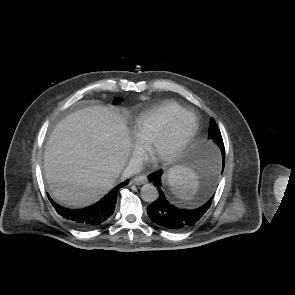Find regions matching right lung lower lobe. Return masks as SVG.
Instances as JSON below:
<instances>
[{
	"label": "right lung lower lobe",
	"mask_w": 295,
	"mask_h": 295,
	"mask_svg": "<svg viewBox=\"0 0 295 295\" xmlns=\"http://www.w3.org/2000/svg\"><path fill=\"white\" fill-rule=\"evenodd\" d=\"M128 183L129 180H126L125 182L119 184L100 201L83 209H67L59 206L52 200L51 203L55 207L57 213L67 219L69 223L78 228L92 229L104 224V222L113 214L118 190Z\"/></svg>",
	"instance_id": "right-lung-lower-lobe-1"
}]
</instances>
